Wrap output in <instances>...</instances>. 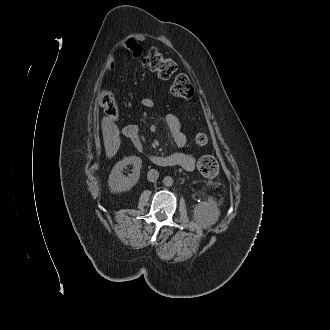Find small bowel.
<instances>
[{
    "mask_svg": "<svg viewBox=\"0 0 330 330\" xmlns=\"http://www.w3.org/2000/svg\"><path fill=\"white\" fill-rule=\"evenodd\" d=\"M121 47L128 50L132 55V57L134 58L140 57L143 52L141 44L139 43L138 40L134 38H128L124 40L121 44ZM115 66H116L115 56L114 54H110L107 60V69L109 71H112L115 69ZM141 103L146 108H151L154 105V101L150 97L143 98ZM165 120L175 144L179 148L184 147L187 140L182 130L179 118L173 114H168ZM166 157L169 159L171 165L179 166L186 171H191L194 169L195 158L189 153L174 152Z\"/></svg>",
    "mask_w": 330,
    "mask_h": 330,
    "instance_id": "small-bowel-1",
    "label": "small bowel"
}]
</instances>
